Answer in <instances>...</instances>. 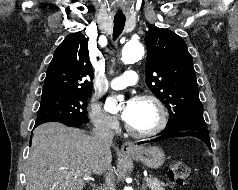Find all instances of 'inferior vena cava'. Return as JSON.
I'll return each instance as SVG.
<instances>
[{"label":"inferior vena cava","instance_id":"602c4592","mask_svg":"<svg viewBox=\"0 0 238 190\" xmlns=\"http://www.w3.org/2000/svg\"><path fill=\"white\" fill-rule=\"evenodd\" d=\"M113 137L114 131L108 121L99 120L95 123V128L93 129V138L100 152H103L110 147L113 142ZM104 177L105 185L101 190H110L111 179L110 175L106 171Z\"/></svg>","mask_w":238,"mask_h":190}]
</instances>
